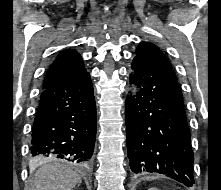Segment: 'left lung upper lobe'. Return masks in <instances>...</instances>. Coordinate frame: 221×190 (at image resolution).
I'll use <instances>...</instances> for the list:
<instances>
[{"mask_svg": "<svg viewBox=\"0 0 221 190\" xmlns=\"http://www.w3.org/2000/svg\"><path fill=\"white\" fill-rule=\"evenodd\" d=\"M136 57L152 62L153 64L157 65L162 70L176 78L171 64L156 45L150 42H141L136 49Z\"/></svg>", "mask_w": 221, "mask_h": 190, "instance_id": "obj_1", "label": "left lung upper lobe"}]
</instances>
